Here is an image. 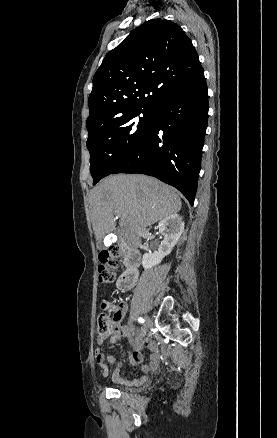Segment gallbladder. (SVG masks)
I'll return each instance as SVG.
<instances>
[{
    "mask_svg": "<svg viewBox=\"0 0 277 438\" xmlns=\"http://www.w3.org/2000/svg\"><path fill=\"white\" fill-rule=\"evenodd\" d=\"M97 246H98L100 251L104 250V246H103L102 242H99V244H97Z\"/></svg>",
    "mask_w": 277,
    "mask_h": 438,
    "instance_id": "gallbladder-1",
    "label": "gallbladder"
}]
</instances>
